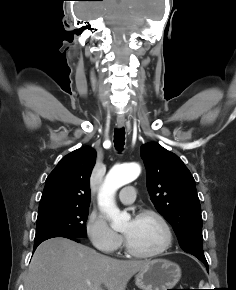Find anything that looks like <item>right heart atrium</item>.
<instances>
[{
	"label": "right heart atrium",
	"mask_w": 236,
	"mask_h": 290,
	"mask_svg": "<svg viewBox=\"0 0 236 290\" xmlns=\"http://www.w3.org/2000/svg\"><path fill=\"white\" fill-rule=\"evenodd\" d=\"M86 233L92 245L104 253H114L122 244V237L107 223L106 219L92 212L86 222Z\"/></svg>",
	"instance_id": "obj_1"
}]
</instances>
